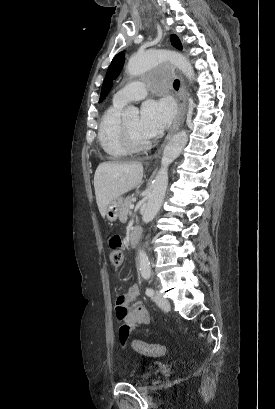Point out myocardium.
Listing matches in <instances>:
<instances>
[{"mask_svg":"<svg viewBox=\"0 0 275 409\" xmlns=\"http://www.w3.org/2000/svg\"><path fill=\"white\" fill-rule=\"evenodd\" d=\"M122 135H123L124 144L130 152H135V153L146 152L147 150L151 148L153 144L152 140L146 143H138L134 139L126 122H122Z\"/></svg>","mask_w":275,"mask_h":409,"instance_id":"myocardium-1","label":"myocardium"}]
</instances>
